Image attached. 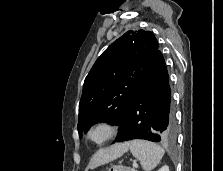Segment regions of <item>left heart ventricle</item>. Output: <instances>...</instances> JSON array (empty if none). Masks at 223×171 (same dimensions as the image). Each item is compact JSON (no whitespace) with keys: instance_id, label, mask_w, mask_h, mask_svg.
<instances>
[{"instance_id":"obj_1","label":"left heart ventricle","mask_w":223,"mask_h":171,"mask_svg":"<svg viewBox=\"0 0 223 171\" xmlns=\"http://www.w3.org/2000/svg\"><path fill=\"white\" fill-rule=\"evenodd\" d=\"M103 131H97L95 134H94V137L96 138V139H100V138H102V136H103Z\"/></svg>"}]
</instances>
